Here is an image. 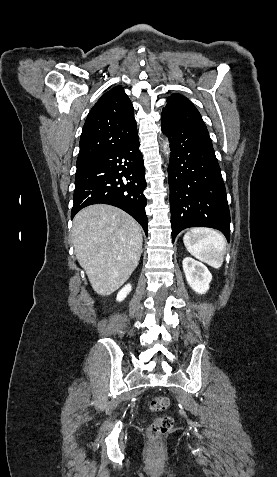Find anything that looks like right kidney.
<instances>
[{
	"instance_id": "1",
	"label": "right kidney",
	"mask_w": 277,
	"mask_h": 477,
	"mask_svg": "<svg viewBox=\"0 0 277 477\" xmlns=\"http://www.w3.org/2000/svg\"><path fill=\"white\" fill-rule=\"evenodd\" d=\"M131 288H132L131 284L125 285V286L118 292L117 297H116V300L119 301V302L123 301V300L126 298V296L129 294V292L131 291Z\"/></svg>"
}]
</instances>
